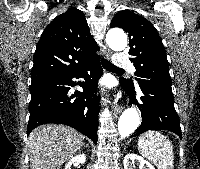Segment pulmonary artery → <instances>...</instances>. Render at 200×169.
<instances>
[{
	"instance_id": "pulmonary-artery-1",
	"label": "pulmonary artery",
	"mask_w": 200,
	"mask_h": 169,
	"mask_svg": "<svg viewBox=\"0 0 200 169\" xmlns=\"http://www.w3.org/2000/svg\"><path fill=\"white\" fill-rule=\"evenodd\" d=\"M114 63L116 66L128 67L131 72H134V68L131 66L129 58L124 53H118L114 58Z\"/></svg>"
}]
</instances>
